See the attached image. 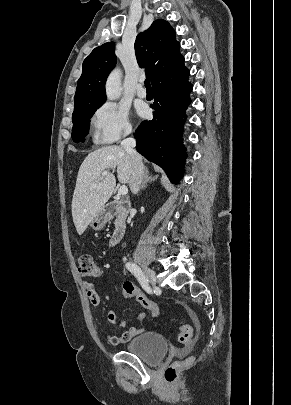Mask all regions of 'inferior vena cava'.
I'll list each match as a JSON object with an SVG mask.
<instances>
[{
  "label": "inferior vena cava",
  "mask_w": 291,
  "mask_h": 405,
  "mask_svg": "<svg viewBox=\"0 0 291 405\" xmlns=\"http://www.w3.org/2000/svg\"><path fill=\"white\" fill-rule=\"evenodd\" d=\"M130 132H127L128 135ZM136 145L135 139L128 137L121 142L122 148L129 154L131 158V180L130 189L133 194H137L140 190L141 183L144 177V165L141 157L137 154L134 147Z\"/></svg>",
  "instance_id": "obj_1"
}]
</instances>
